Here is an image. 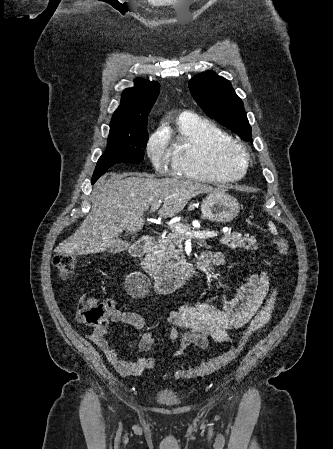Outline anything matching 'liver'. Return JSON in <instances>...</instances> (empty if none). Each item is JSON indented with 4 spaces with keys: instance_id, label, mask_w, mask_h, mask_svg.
I'll use <instances>...</instances> for the list:
<instances>
[{
    "instance_id": "obj_1",
    "label": "liver",
    "mask_w": 333,
    "mask_h": 449,
    "mask_svg": "<svg viewBox=\"0 0 333 449\" xmlns=\"http://www.w3.org/2000/svg\"><path fill=\"white\" fill-rule=\"evenodd\" d=\"M217 191L198 182L154 179L141 173L105 174L93 189L90 213L81 227L56 251L69 255L103 252L119 239L123 231L138 232L145 223L142 216L154 202H163L160 216L173 217L192 198Z\"/></svg>"
}]
</instances>
